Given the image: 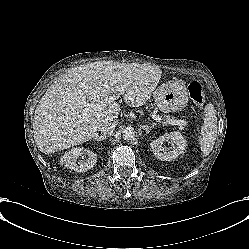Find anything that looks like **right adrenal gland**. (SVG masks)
Listing matches in <instances>:
<instances>
[{
    "mask_svg": "<svg viewBox=\"0 0 249 249\" xmlns=\"http://www.w3.org/2000/svg\"><path fill=\"white\" fill-rule=\"evenodd\" d=\"M95 140H98V141H101V140H104V139H106V136H104V137H97V138H94Z\"/></svg>",
    "mask_w": 249,
    "mask_h": 249,
    "instance_id": "right-adrenal-gland-1",
    "label": "right adrenal gland"
}]
</instances>
